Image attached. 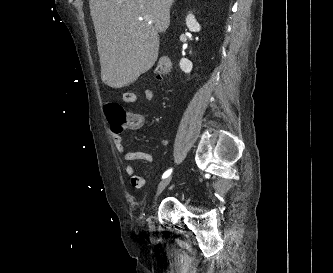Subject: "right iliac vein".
Segmentation results:
<instances>
[{"mask_svg":"<svg viewBox=\"0 0 333 273\" xmlns=\"http://www.w3.org/2000/svg\"><path fill=\"white\" fill-rule=\"evenodd\" d=\"M172 180V177H166L165 179H163L158 187H157V190H156V194H155V197H154V202L155 200L157 199V197L159 196V194L169 185V183L171 182ZM148 227H149V231H154L155 230V225L152 221V216L149 217V220H148Z\"/></svg>","mask_w":333,"mask_h":273,"instance_id":"63e3f726","label":"right iliac vein"}]
</instances>
